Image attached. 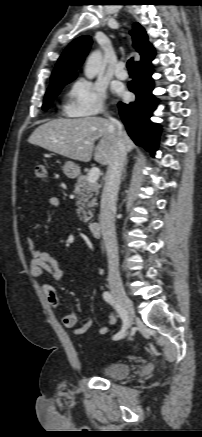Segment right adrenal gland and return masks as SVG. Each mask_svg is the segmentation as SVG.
<instances>
[{
	"label": "right adrenal gland",
	"instance_id": "2a0ac1e0",
	"mask_svg": "<svg viewBox=\"0 0 202 437\" xmlns=\"http://www.w3.org/2000/svg\"><path fill=\"white\" fill-rule=\"evenodd\" d=\"M126 165H127V160L125 161V166H124V169H123V174H125V171H126L125 167H126Z\"/></svg>",
	"mask_w": 202,
	"mask_h": 437
}]
</instances>
